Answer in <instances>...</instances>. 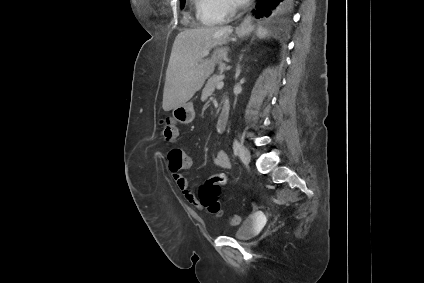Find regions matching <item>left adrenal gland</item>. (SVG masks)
<instances>
[{
  "mask_svg": "<svg viewBox=\"0 0 424 283\" xmlns=\"http://www.w3.org/2000/svg\"><path fill=\"white\" fill-rule=\"evenodd\" d=\"M240 73H241L240 66H237V68H236V78L239 77Z\"/></svg>",
  "mask_w": 424,
  "mask_h": 283,
  "instance_id": "left-adrenal-gland-1",
  "label": "left adrenal gland"
}]
</instances>
